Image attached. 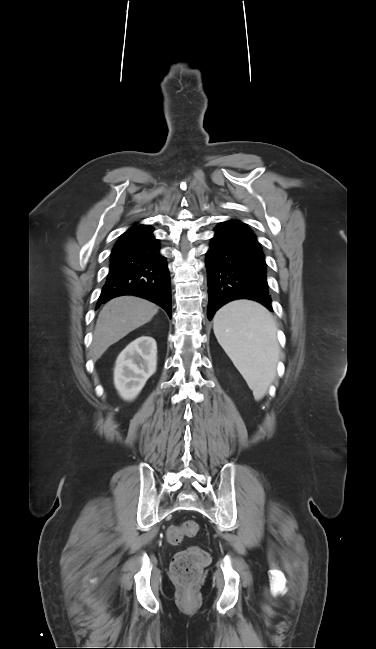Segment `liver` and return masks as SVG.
I'll list each match as a JSON object with an SVG mask.
<instances>
[{
	"label": "liver",
	"instance_id": "6515ba94",
	"mask_svg": "<svg viewBox=\"0 0 376 649\" xmlns=\"http://www.w3.org/2000/svg\"><path fill=\"white\" fill-rule=\"evenodd\" d=\"M157 312L155 304L134 296H121L106 303L93 334V360H98L112 344L149 322Z\"/></svg>",
	"mask_w": 376,
	"mask_h": 649
}]
</instances>
